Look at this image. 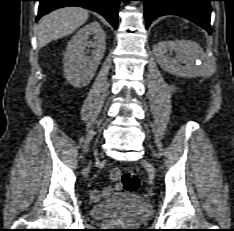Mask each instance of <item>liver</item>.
I'll use <instances>...</instances> for the list:
<instances>
[{
  "mask_svg": "<svg viewBox=\"0 0 234 231\" xmlns=\"http://www.w3.org/2000/svg\"><path fill=\"white\" fill-rule=\"evenodd\" d=\"M88 17V11L80 7H66L49 13L39 22L38 46L42 48L51 41L73 33Z\"/></svg>",
  "mask_w": 234,
  "mask_h": 231,
  "instance_id": "6515ba94",
  "label": "liver"
}]
</instances>
